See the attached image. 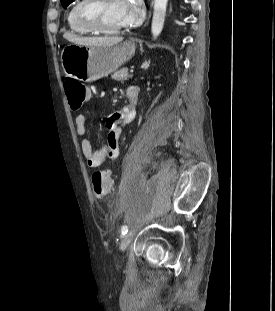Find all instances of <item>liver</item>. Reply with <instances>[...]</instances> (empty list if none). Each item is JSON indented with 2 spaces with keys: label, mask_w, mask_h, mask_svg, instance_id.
<instances>
[{
  "label": "liver",
  "mask_w": 275,
  "mask_h": 311,
  "mask_svg": "<svg viewBox=\"0 0 275 311\" xmlns=\"http://www.w3.org/2000/svg\"><path fill=\"white\" fill-rule=\"evenodd\" d=\"M63 37L74 44L103 47L117 45L123 40V37H80L70 33H65Z\"/></svg>",
  "instance_id": "obj_1"
}]
</instances>
